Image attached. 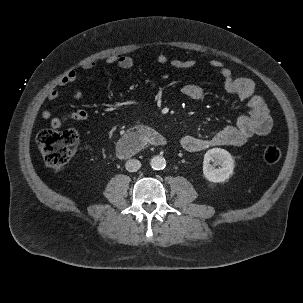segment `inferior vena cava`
Listing matches in <instances>:
<instances>
[{"label": "inferior vena cava", "instance_id": "1", "mask_svg": "<svg viewBox=\"0 0 303 303\" xmlns=\"http://www.w3.org/2000/svg\"><path fill=\"white\" fill-rule=\"evenodd\" d=\"M126 170L129 172H136L141 167V162L137 159H130L125 164Z\"/></svg>", "mask_w": 303, "mask_h": 303}]
</instances>
